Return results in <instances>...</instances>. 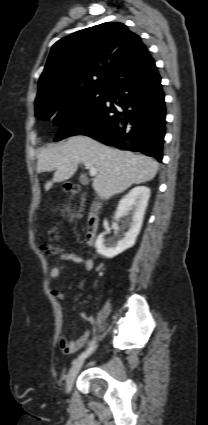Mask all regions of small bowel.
<instances>
[{
    "mask_svg": "<svg viewBox=\"0 0 208 425\" xmlns=\"http://www.w3.org/2000/svg\"><path fill=\"white\" fill-rule=\"evenodd\" d=\"M61 259L63 261V264H61L59 266H55L50 270V276L53 279H57V278L60 277L62 271L66 267V263H69V262L81 264L84 267V269L87 270V271L92 270L93 267H94V262L91 258L83 257V256H81L77 253H74V252L64 253L62 255ZM51 293L58 300L64 299V294L61 291L52 290ZM81 317H82L83 320H85L89 323H94V321H95L94 318L91 315H89L88 313H85V312L81 313ZM88 338H89L88 332L82 334L81 336H79L78 338H76L75 340H72V341L68 340L65 337H61L60 340H59V345H60V348H61V350L64 354H73L85 345Z\"/></svg>",
    "mask_w": 208,
    "mask_h": 425,
    "instance_id": "1",
    "label": "small bowel"
}]
</instances>
